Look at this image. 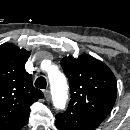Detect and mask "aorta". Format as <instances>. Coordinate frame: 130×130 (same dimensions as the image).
I'll use <instances>...</instances> for the list:
<instances>
[{
  "label": "aorta",
  "mask_w": 130,
  "mask_h": 130,
  "mask_svg": "<svg viewBox=\"0 0 130 130\" xmlns=\"http://www.w3.org/2000/svg\"><path fill=\"white\" fill-rule=\"evenodd\" d=\"M48 77L54 107L57 110L65 109L66 102L68 99V93H67L68 86L65 76L59 71H54L50 72Z\"/></svg>",
  "instance_id": "obj_1"
}]
</instances>
